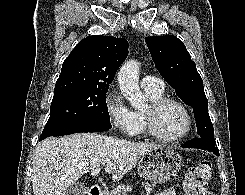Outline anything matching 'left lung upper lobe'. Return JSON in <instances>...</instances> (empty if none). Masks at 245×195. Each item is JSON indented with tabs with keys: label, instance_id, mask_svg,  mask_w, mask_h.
<instances>
[{
	"label": "left lung upper lobe",
	"instance_id": "left-lung-upper-lobe-1",
	"mask_svg": "<svg viewBox=\"0 0 245 195\" xmlns=\"http://www.w3.org/2000/svg\"><path fill=\"white\" fill-rule=\"evenodd\" d=\"M145 41L162 77L193 108L199 137L216 144L203 81L184 43L173 35L147 37Z\"/></svg>",
	"mask_w": 245,
	"mask_h": 195
}]
</instances>
